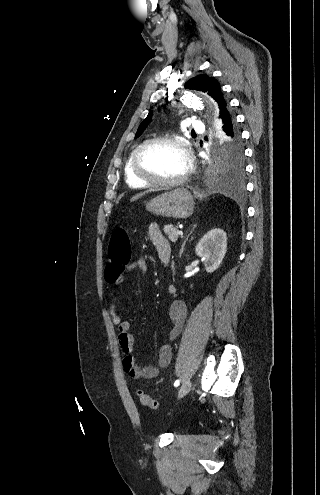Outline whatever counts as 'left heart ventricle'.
Here are the masks:
<instances>
[{"label": "left heart ventricle", "instance_id": "obj_1", "mask_svg": "<svg viewBox=\"0 0 320 495\" xmlns=\"http://www.w3.org/2000/svg\"><path fill=\"white\" fill-rule=\"evenodd\" d=\"M140 165L143 171L153 177L173 180L185 171L186 158L177 145L157 143L142 152Z\"/></svg>", "mask_w": 320, "mask_h": 495}]
</instances>
